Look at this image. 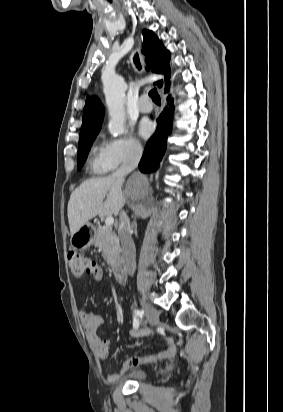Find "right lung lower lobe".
<instances>
[{
	"mask_svg": "<svg viewBox=\"0 0 283 412\" xmlns=\"http://www.w3.org/2000/svg\"><path fill=\"white\" fill-rule=\"evenodd\" d=\"M170 82L166 84L169 86ZM169 92V88L165 93ZM167 106L157 119V129L153 136L148 140L143 156L139 163V169L142 172H152L159 167V162L165 153L167 137L172 130V119L174 115L173 99L170 95L167 97Z\"/></svg>",
	"mask_w": 283,
	"mask_h": 412,
	"instance_id": "98d812e1",
	"label": "right lung lower lobe"
}]
</instances>
